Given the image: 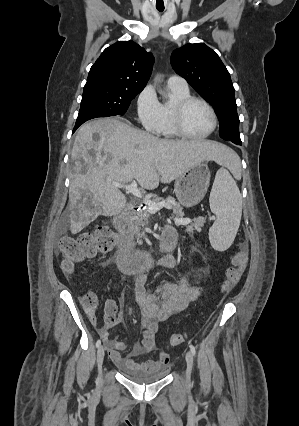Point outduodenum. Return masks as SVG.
Masks as SVG:
<instances>
[{"label": "duodenum", "instance_id": "410a0bca", "mask_svg": "<svg viewBox=\"0 0 299 426\" xmlns=\"http://www.w3.org/2000/svg\"><path fill=\"white\" fill-rule=\"evenodd\" d=\"M133 207H128L115 217L114 225L120 234V241L116 255V263L121 272L135 274L147 267L153 257L149 252L137 251L133 248V241L128 233V219ZM176 245V234L173 229L167 227L162 232L157 252L167 253Z\"/></svg>", "mask_w": 299, "mask_h": 426}]
</instances>
